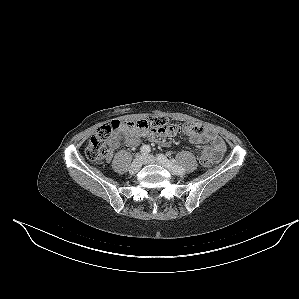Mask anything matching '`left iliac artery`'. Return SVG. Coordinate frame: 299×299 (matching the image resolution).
<instances>
[{"instance_id": "obj_1", "label": "left iliac artery", "mask_w": 299, "mask_h": 299, "mask_svg": "<svg viewBox=\"0 0 299 299\" xmlns=\"http://www.w3.org/2000/svg\"><path fill=\"white\" fill-rule=\"evenodd\" d=\"M157 159L163 162L169 169H171L175 174L182 175L185 173V169L174 163V160L167 159L163 154H159Z\"/></svg>"}]
</instances>
